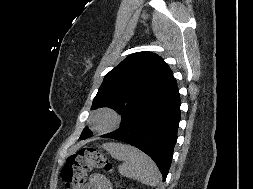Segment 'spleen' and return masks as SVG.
<instances>
[{
  "label": "spleen",
  "mask_w": 253,
  "mask_h": 189,
  "mask_svg": "<svg viewBox=\"0 0 253 189\" xmlns=\"http://www.w3.org/2000/svg\"><path fill=\"white\" fill-rule=\"evenodd\" d=\"M102 147L112 158L123 161L118 168L121 175L146 185L157 186L160 180L159 170L144 152L133 146L115 142L105 143Z\"/></svg>",
  "instance_id": "spleen-1"
}]
</instances>
